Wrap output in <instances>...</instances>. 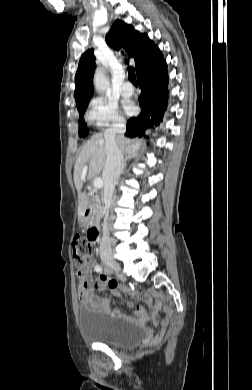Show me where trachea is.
I'll return each mask as SVG.
<instances>
[{"mask_svg":"<svg viewBox=\"0 0 252 390\" xmlns=\"http://www.w3.org/2000/svg\"><path fill=\"white\" fill-rule=\"evenodd\" d=\"M128 70H129V74H128L129 80L133 83L134 86H138L134 68L129 67Z\"/></svg>","mask_w":252,"mask_h":390,"instance_id":"3493384b","label":"trachea"}]
</instances>
